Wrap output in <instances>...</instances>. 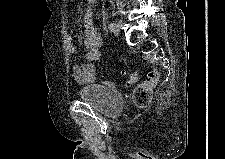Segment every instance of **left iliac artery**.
Returning a JSON list of instances; mask_svg holds the SVG:
<instances>
[{
    "mask_svg": "<svg viewBox=\"0 0 225 159\" xmlns=\"http://www.w3.org/2000/svg\"><path fill=\"white\" fill-rule=\"evenodd\" d=\"M113 28H114V23H112V22L109 23V24H108V29L112 31Z\"/></svg>",
    "mask_w": 225,
    "mask_h": 159,
    "instance_id": "1",
    "label": "left iliac artery"
}]
</instances>
